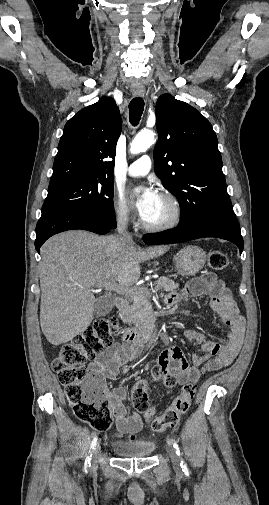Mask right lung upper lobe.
I'll return each instance as SVG.
<instances>
[{
  "label": "right lung upper lobe",
  "instance_id": "right-lung-upper-lobe-1",
  "mask_svg": "<svg viewBox=\"0 0 269 505\" xmlns=\"http://www.w3.org/2000/svg\"><path fill=\"white\" fill-rule=\"evenodd\" d=\"M119 109L111 97L83 108L65 125L49 188L89 180H113L116 144L121 133Z\"/></svg>",
  "mask_w": 269,
  "mask_h": 505
}]
</instances>
